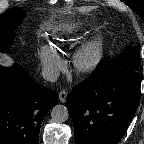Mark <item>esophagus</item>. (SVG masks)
Returning <instances> with one entry per match:
<instances>
[{
  "mask_svg": "<svg viewBox=\"0 0 144 144\" xmlns=\"http://www.w3.org/2000/svg\"><path fill=\"white\" fill-rule=\"evenodd\" d=\"M66 98H67V92L65 91H61L59 93V100L64 103L66 101Z\"/></svg>",
  "mask_w": 144,
  "mask_h": 144,
  "instance_id": "esophagus-1",
  "label": "esophagus"
}]
</instances>
